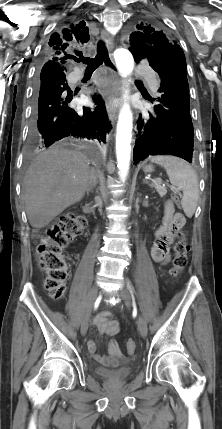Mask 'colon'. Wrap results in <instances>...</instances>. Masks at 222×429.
<instances>
[{"label": "colon", "mask_w": 222, "mask_h": 429, "mask_svg": "<svg viewBox=\"0 0 222 429\" xmlns=\"http://www.w3.org/2000/svg\"><path fill=\"white\" fill-rule=\"evenodd\" d=\"M172 200L179 205L180 198L178 195H173ZM84 224L85 220L82 216L67 213L49 228L46 236L37 247L39 266L46 273L45 287L54 299L61 298L65 292L68 266L62 251L80 234ZM188 250L189 247L184 233H181V239L175 246V253L172 259V268L170 270L172 278L178 277L186 268ZM126 347L129 353H134L136 342L133 339H129Z\"/></svg>", "instance_id": "5ec220e1"}]
</instances>
